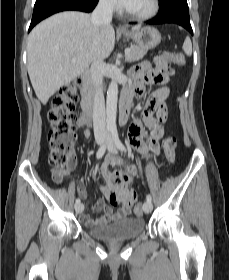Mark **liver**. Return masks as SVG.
Instances as JSON below:
<instances>
[{"mask_svg": "<svg viewBox=\"0 0 229 280\" xmlns=\"http://www.w3.org/2000/svg\"><path fill=\"white\" fill-rule=\"evenodd\" d=\"M114 45L113 27L97 26L85 13L62 12L38 24L29 34L27 47V70L38 99L45 105L94 60L108 58Z\"/></svg>", "mask_w": 229, "mask_h": 280, "instance_id": "liver-1", "label": "liver"}]
</instances>
